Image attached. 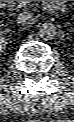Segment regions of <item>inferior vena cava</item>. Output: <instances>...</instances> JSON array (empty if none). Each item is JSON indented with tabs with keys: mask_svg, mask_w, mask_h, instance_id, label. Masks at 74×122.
Instances as JSON below:
<instances>
[{
	"mask_svg": "<svg viewBox=\"0 0 74 122\" xmlns=\"http://www.w3.org/2000/svg\"><path fill=\"white\" fill-rule=\"evenodd\" d=\"M17 22L21 25H31L34 23L33 14L28 11H23L18 14Z\"/></svg>",
	"mask_w": 74,
	"mask_h": 122,
	"instance_id": "602c4592",
	"label": "inferior vena cava"
}]
</instances>
